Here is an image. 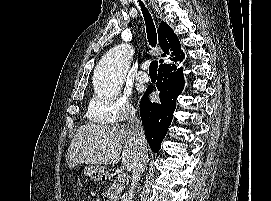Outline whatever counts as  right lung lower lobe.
Segmentation results:
<instances>
[{
    "mask_svg": "<svg viewBox=\"0 0 271 201\" xmlns=\"http://www.w3.org/2000/svg\"><path fill=\"white\" fill-rule=\"evenodd\" d=\"M184 54L171 63L159 67L157 89L160 91V103H153L147 96L153 91L148 87L140 103V116L145 128L147 141L153 152L160 150L161 142L171 124L176 100L184 87V77L180 62Z\"/></svg>",
    "mask_w": 271,
    "mask_h": 201,
    "instance_id": "1",
    "label": "right lung lower lobe"
}]
</instances>
